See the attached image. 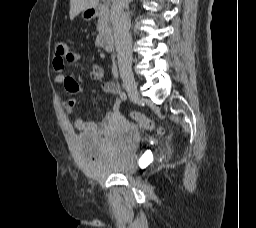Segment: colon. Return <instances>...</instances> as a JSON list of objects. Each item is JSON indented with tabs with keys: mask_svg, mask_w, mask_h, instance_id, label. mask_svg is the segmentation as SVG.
I'll use <instances>...</instances> for the list:
<instances>
[{
	"mask_svg": "<svg viewBox=\"0 0 256 228\" xmlns=\"http://www.w3.org/2000/svg\"><path fill=\"white\" fill-rule=\"evenodd\" d=\"M54 50V58L57 59L59 63L65 62L70 51L67 44L63 40H57L55 42ZM130 115L138 124H140L145 129L156 131L158 134H162L164 132V129L162 127H157L152 120H150L143 114L137 111H133Z\"/></svg>",
	"mask_w": 256,
	"mask_h": 228,
	"instance_id": "1",
	"label": "colon"
}]
</instances>
